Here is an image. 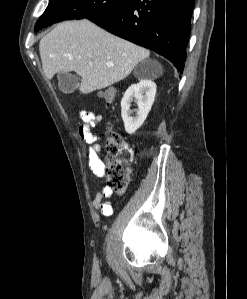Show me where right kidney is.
Returning <instances> with one entry per match:
<instances>
[{"instance_id": "obj_1", "label": "right kidney", "mask_w": 247, "mask_h": 299, "mask_svg": "<svg viewBox=\"0 0 247 299\" xmlns=\"http://www.w3.org/2000/svg\"><path fill=\"white\" fill-rule=\"evenodd\" d=\"M156 94V84L152 81L144 80L131 85L125 92L121 101V116L124 122L125 131L134 134L144 123L154 102ZM135 99L138 108L131 110V103ZM136 116L132 117V113Z\"/></svg>"}]
</instances>
